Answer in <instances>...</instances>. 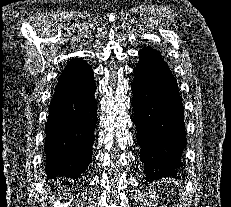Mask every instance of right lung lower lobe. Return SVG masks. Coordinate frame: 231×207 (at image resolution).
<instances>
[{
    "label": "right lung lower lobe",
    "mask_w": 231,
    "mask_h": 207,
    "mask_svg": "<svg viewBox=\"0 0 231 207\" xmlns=\"http://www.w3.org/2000/svg\"><path fill=\"white\" fill-rule=\"evenodd\" d=\"M93 71L81 61L65 67L50 102L45 125L46 173L77 178L92 158L97 123Z\"/></svg>",
    "instance_id": "obj_1"
}]
</instances>
